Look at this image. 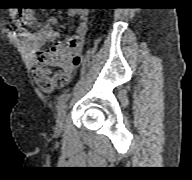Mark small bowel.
I'll use <instances>...</instances> for the list:
<instances>
[{
	"label": "small bowel",
	"mask_w": 192,
	"mask_h": 180,
	"mask_svg": "<svg viewBox=\"0 0 192 180\" xmlns=\"http://www.w3.org/2000/svg\"><path fill=\"white\" fill-rule=\"evenodd\" d=\"M68 13L70 16L78 18L75 34L56 42L49 50L40 52L33 68L34 78L45 92H52L66 85L82 62L84 40L88 32V11L86 9H71ZM18 16L25 25L36 24V18L32 11L20 10ZM56 21L53 18L50 20V24H54ZM20 35L34 53H38L43 45L58 38V33L50 25L42 27L36 32L21 30ZM52 67H56L58 70L51 72L50 68Z\"/></svg>",
	"instance_id": "small-bowel-1"
}]
</instances>
